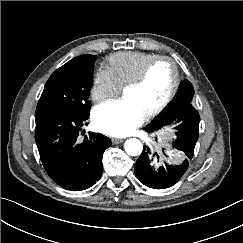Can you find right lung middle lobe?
<instances>
[{
    "instance_id": "1",
    "label": "right lung middle lobe",
    "mask_w": 243,
    "mask_h": 243,
    "mask_svg": "<svg viewBox=\"0 0 243 243\" xmlns=\"http://www.w3.org/2000/svg\"><path fill=\"white\" fill-rule=\"evenodd\" d=\"M95 60L93 55H82L54 71L44 87L36 112L89 114L91 103L88 97L93 84Z\"/></svg>"
}]
</instances>
